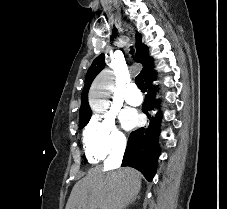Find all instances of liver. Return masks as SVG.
Instances as JSON below:
<instances>
[{"label": "liver", "mask_w": 227, "mask_h": 209, "mask_svg": "<svg viewBox=\"0 0 227 209\" xmlns=\"http://www.w3.org/2000/svg\"><path fill=\"white\" fill-rule=\"evenodd\" d=\"M140 189L141 175L135 169L104 173L95 167L73 187L66 209H125Z\"/></svg>", "instance_id": "liver-1"}]
</instances>
